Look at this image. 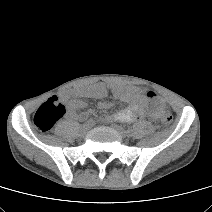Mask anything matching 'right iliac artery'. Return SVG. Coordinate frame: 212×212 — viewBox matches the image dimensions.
I'll return each instance as SVG.
<instances>
[{
    "mask_svg": "<svg viewBox=\"0 0 212 212\" xmlns=\"http://www.w3.org/2000/svg\"><path fill=\"white\" fill-rule=\"evenodd\" d=\"M85 125H93L94 124V120L90 119L87 122L84 123Z\"/></svg>",
    "mask_w": 212,
    "mask_h": 212,
    "instance_id": "right-iliac-artery-1",
    "label": "right iliac artery"
}]
</instances>
